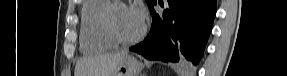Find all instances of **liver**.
Returning a JSON list of instances; mask_svg holds the SVG:
<instances>
[{"instance_id": "obj_1", "label": "liver", "mask_w": 287, "mask_h": 76, "mask_svg": "<svg viewBox=\"0 0 287 76\" xmlns=\"http://www.w3.org/2000/svg\"><path fill=\"white\" fill-rule=\"evenodd\" d=\"M126 52L84 57L75 67V76H112Z\"/></svg>"}]
</instances>
